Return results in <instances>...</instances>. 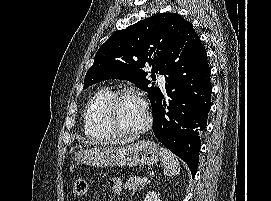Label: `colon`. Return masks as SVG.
Listing matches in <instances>:
<instances>
[{
  "label": "colon",
  "mask_w": 271,
  "mask_h": 201,
  "mask_svg": "<svg viewBox=\"0 0 271 201\" xmlns=\"http://www.w3.org/2000/svg\"><path fill=\"white\" fill-rule=\"evenodd\" d=\"M74 194L76 197H83L86 195L88 190L87 181L84 178H78L74 182Z\"/></svg>",
  "instance_id": "colon-1"
}]
</instances>
